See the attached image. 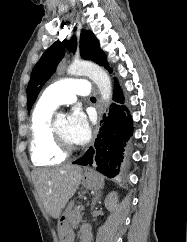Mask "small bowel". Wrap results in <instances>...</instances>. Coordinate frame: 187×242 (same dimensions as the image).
Listing matches in <instances>:
<instances>
[{
	"label": "small bowel",
	"mask_w": 187,
	"mask_h": 242,
	"mask_svg": "<svg viewBox=\"0 0 187 242\" xmlns=\"http://www.w3.org/2000/svg\"><path fill=\"white\" fill-rule=\"evenodd\" d=\"M81 235H89L91 236L90 228L88 226H83L81 230Z\"/></svg>",
	"instance_id": "c3829d8e"
}]
</instances>
